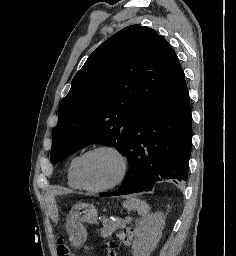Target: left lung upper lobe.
<instances>
[{
    "mask_svg": "<svg viewBox=\"0 0 236 256\" xmlns=\"http://www.w3.org/2000/svg\"><path fill=\"white\" fill-rule=\"evenodd\" d=\"M184 72L169 43L155 30L131 25L89 56L59 106L51 162L92 143L125 154L134 122Z\"/></svg>",
    "mask_w": 236,
    "mask_h": 256,
    "instance_id": "left-lung-upper-lobe-1",
    "label": "left lung upper lobe"
}]
</instances>
